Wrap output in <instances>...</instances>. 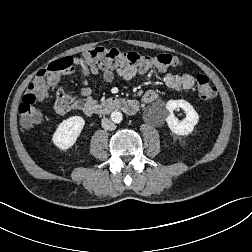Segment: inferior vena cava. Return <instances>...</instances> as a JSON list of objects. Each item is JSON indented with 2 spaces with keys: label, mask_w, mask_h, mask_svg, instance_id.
<instances>
[{
  "label": "inferior vena cava",
  "mask_w": 252,
  "mask_h": 252,
  "mask_svg": "<svg viewBox=\"0 0 252 252\" xmlns=\"http://www.w3.org/2000/svg\"><path fill=\"white\" fill-rule=\"evenodd\" d=\"M101 125L104 129L106 130H115L116 129V125L114 124L113 121H111L110 119L108 118H103L102 119V122H101Z\"/></svg>",
  "instance_id": "inferior-vena-cava-1"
}]
</instances>
